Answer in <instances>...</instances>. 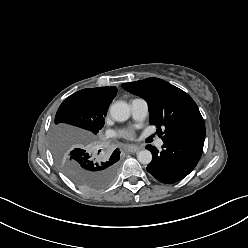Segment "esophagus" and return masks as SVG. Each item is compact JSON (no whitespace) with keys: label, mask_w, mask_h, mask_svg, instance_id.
Masks as SVG:
<instances>
[{"label":"esophagus","mask_w":248,"mask_h":248,"mask_svg":"<svg viewBox=\"0 0 248 248\" xmlns=\"http://www.w3.org/2000/svg\"><path fill=\"white\" fill-rule=\"evenodd\" d=\"M141 148L137 145H130L128 146V151L131 153L138 152Z\"/></svg>","instance_id":"34e87169"}]
</instances>
